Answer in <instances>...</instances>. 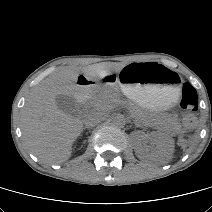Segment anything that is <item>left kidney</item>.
<instances>
[{"label": "left kidney", "mask_w": 212, "mask_h": 212, "mask_svg": "<svg viewBox=\"0 0 212 212\" xmlns=\"http://www.w3.org/2000/svg\"><path fill=\"white\" fill-rule=\"evenodd\" d=\"M133 135L137 139L135 152L140 159H144L149 156L148 152L143 147V142L146 140V136L142 131H135ZM148 140L156 145V150L154 152V156L158 157L160 161L166 162L172 158V154L174 152V140L161 133V132H152Z\"/></svg>", "instance_id": "obj_1"}]
</instances>
